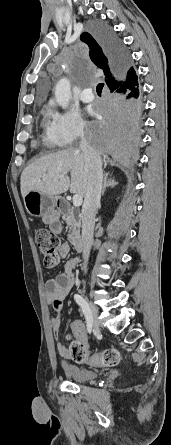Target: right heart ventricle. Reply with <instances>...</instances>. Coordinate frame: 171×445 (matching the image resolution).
Masks as SVG:
<instances>
[{"mask_svg":"<svg viewBox=\"0 0 171 445\" xmlns=\"http://www.w3.org/2000/svg\"><path fill=\"white\" fill-rule=\"evenodd\" d=\"M42 141L48 148H56L61 145L54 132L52 121L48 118L42 122Z\"/></svg>","mask_w":171,"mask_h":445,"instance_id":"1","label":"right heart ventricle"}]
</instances>
